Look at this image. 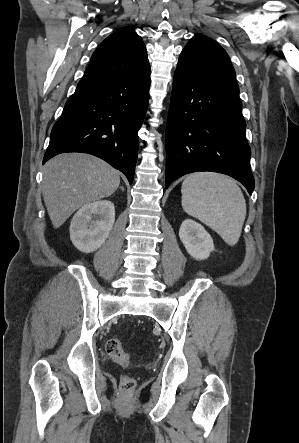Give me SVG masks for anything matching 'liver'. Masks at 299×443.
Segmentation results:
<instances>
[{
	"instance_id": "liver-1",
	"label": "liver",
	"mask_w": 299,
	"mask_h": 443,
	"mask_svg": "<svg viewBox=\"0 0 299 443\" xmlns=\"http://www.w3.org/2000/svg\"><path fill=\"white\" fill-rule=\"evenodd\" d=\"M119 172L107 162L84 153H64L43 168L42 195L54 228L79 208L112 195Z\"/></svg>"
}]
</instances>
